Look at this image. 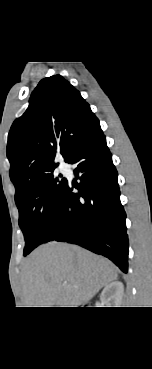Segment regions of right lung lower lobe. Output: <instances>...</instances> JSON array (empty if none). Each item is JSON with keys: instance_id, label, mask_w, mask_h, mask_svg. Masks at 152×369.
<instances>
[{"instance_id": "1", "label": "right lung lower lobe", "mask_w": 152, "mask_h": 369, "mask_svg": "<svg viewBox=\"0 0 152 369\" xmlns=\"http://www.w3.org/2000/svg\"><path fill=\"white\" fill-rule=\"evenodd\" d=\"M68 163L77 164L75 175L81 182L78 186L67 182L53 229L44 243L56 240L80 245L106 256L127 273L126 214L102 130L83 142Z\"/></svg>"}]
</instances>
